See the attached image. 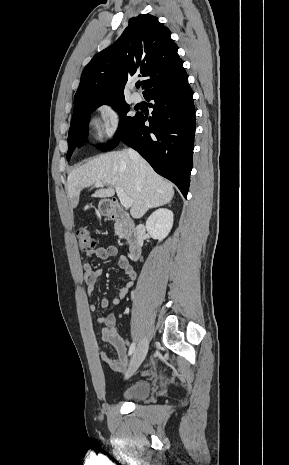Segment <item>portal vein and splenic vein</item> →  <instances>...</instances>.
<instances>
[{"label": "portal vein and splenic vein", "mask_w": 289, "mask_h": 465, "mask_svg": "<svg viewBox=\"0 0 289 465\" xmlns=\"http://www.w3.org/2000/svg\"><path fill=\"white\" fill-rule=\"evenodd\" d=\"M102 185H103L102 182H96V183H95V186H96V187H101ZM116 193H117V196H118V198H119V200H120V202H121V204H122V206H123L124 208L127 209V208H130V207L132 206V203H133V202H132V199H131L130 197H128V196L124 193V191H123L122 189L116 187Z\"/></svg>", "instance_id": "1"}]
</instances>
